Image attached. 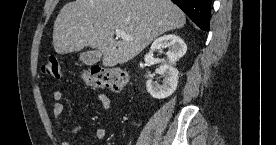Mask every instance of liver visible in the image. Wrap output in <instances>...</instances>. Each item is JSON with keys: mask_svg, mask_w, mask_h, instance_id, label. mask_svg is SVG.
Wrapping results in <instances>:
<instances>
[{"mask_svg": "<svg viewBox=\"0 0 276 145\" xmlns=\"http://www.w3.org/2000/svg\"><path fill=\"white\" fill-rule=\"evenodd\" d=\"M185 23V14L170 0H73L54 22L53 46L59 54L96 48L103 55V65L113 67ZM116 30L132 39L115 40Z\"/></svg>", "mask_w": 276, "mask_h": 145, "instance_id": "1", "label": "liver"}]
</instances>
